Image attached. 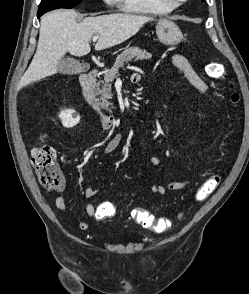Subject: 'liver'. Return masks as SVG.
Listing matches in <instances>:
<instances>
[{
  "label": "liver",
  "instance_id": "obj_1",
  "mask_svg": "<svg viewBox=\"0 0 249 294\" xmlns=\"http://www.w3.org/2000/svg\"><path fill=\"white\" fill-rule=\"evenodd\" d=\"M77 16L72 10H56L43 16L37 50L19 82V88L56 74L59 62L67 52L78 57L87 55L94 35H99L95 50H103L131 38L151 19L142 15L115 13L87 17L77 23Z\"/></svg>",
  "mask_w": 249,
  "mask_h": 294
}]
</instances>
